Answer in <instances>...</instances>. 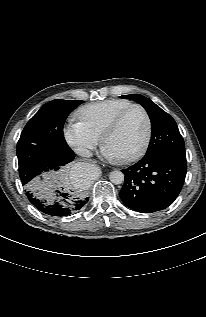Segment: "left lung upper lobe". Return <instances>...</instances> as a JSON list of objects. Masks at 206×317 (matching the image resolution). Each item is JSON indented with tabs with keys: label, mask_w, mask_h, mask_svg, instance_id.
Segmentation results:
<instances>
[{
	"label": "left lung upper lobe",
	"mask_w": 206,
	"mask_h": 317,
	"mask_svg": "<svg viewBox=\"0 0 206 317\" xmlns=\"http://www.w3.org/2000/svg\"><path fill=\"white\" fill-rule=\"evenodd\" d=\"M140 103L147 111L152 125V136L145 156L159 153L185 155V145L174 119L149 98L141 94L123 95Z\"/></svg>",
	"instance_id": "1"
}]
</instances>
